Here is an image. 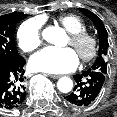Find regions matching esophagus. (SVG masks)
Returning a JSON list of instances; mask_svg holds the SVG:
<instances>
[{"mask_svg": "<svg viewBox=\"0 0 117 117\" xmlns=\"http://www.w3.org/2000/svg\"><path fill=\"white\" fill-rule=\"evenodd\" d=\"M49 76L53 79H58L61 77V75H57V74H50Z\"/></svg>", "mask_w": 117, "mask_h": 117, "instance_id": "obj_1", "label": "esophagus"}]
</instances>
